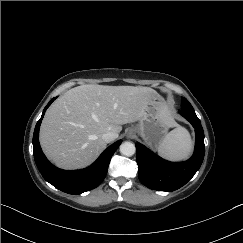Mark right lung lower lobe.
<instances>
[{
    "instance_id": "obj_1",
    "label": "right lung lower lobe",
    "mask_w": 243,
    "mask_h": 243,
    "mask_svg": "<svg viewBox=\"0 0 243 243\" xmlns=\"http://www.w3.org/2000/svg\"><path fill=\"white\" fill-rule=\"evenodd\" d=\"M53 98L43 110L33 135V153L36 165L44 179L57 189L69 194H81L96 188L104 180L112 155L121 144V140L108 147L88 168L75 171L61 170L53 166L45 157L39 144V128L46 109L55 100Z\"/></svg>"
}]
</instances>
